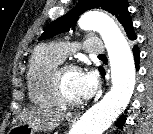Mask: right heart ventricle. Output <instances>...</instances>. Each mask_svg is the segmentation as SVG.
<instances>
[{
	"mask_svg": "<svg viewBox=\"0 0 153 134\" xmlns=\"http://www.w3.org/2000/svg\"><path fill=\"white\" fill-rule=\"evenodd\" d=\"M62 61L50 46L34 49L26 74L28 95L34 104L41 107L60 105L53 91L52 74Z\"/></svg>",
	"mask_w": 153,
	"mask_h": 134,
	"instance_id": "right-heart-ventricle-1",
	"label": "right heart ventricle"
}]
</instances>
